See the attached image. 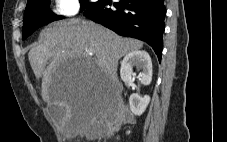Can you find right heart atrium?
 <instances>
[{"label":"right heart atrium","mask_w":227,"mask_h":142,"mask_svg":"<svg viewBox=\"0 0 227 142\" xmlns=\"http://www.w3.org/2000/svg\"><path fill=\"white\" fill-rule=\"evenodd\" d=\"M80 8V0H53V14L58 18L73 17Z\"/></svg>","instance_id":"d8ad5b80"}]
</instances>
